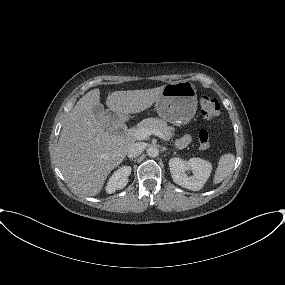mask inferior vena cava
I'll return each instance as SVG.
<instances>
[{"label":"inferior vena cava","instance_id":"602c4592","mask_svg":"<svg viewBox=\"0 0 285 285\" xmlns=\"http://www.w3.org/2000/svg\"><path fill=\"white\" fill-rule=\"evenodd\" d=\"M144 150V144L140 142H136L130 145L128 149V157L135 158L138 157Z\"/></svg>","mask_w":285,"mask_h":285}]
</instances>
